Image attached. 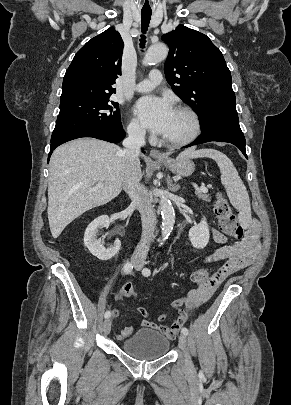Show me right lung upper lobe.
Listing matches in <instances>:
<instances>
[{
  "mask_svg": "<svg viewBox=\"0 0 291 405\" xmlns=\"http://www.w3.org/2000/svg\"><path fill=\"white\" fill-rule=\"evenodd\" d=\"M124 43L113 27L88 41L74 56L67 69L60 101L109 96L121 75Z\"/></svg>",
  "mask_w": 291,
  "mask_h": 405,
  "instance_id": "cb5924a9",
  "label": "right lung upper lobe"
}]
</instances>
